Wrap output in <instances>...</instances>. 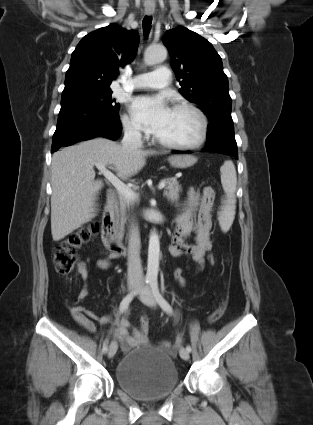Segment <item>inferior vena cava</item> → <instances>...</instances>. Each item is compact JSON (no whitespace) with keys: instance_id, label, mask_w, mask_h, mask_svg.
<instances>
[{"instance_id":"602c4592","label":"inferior vena cava","mask_w":313,"mask_h":425,"mask_svg":"<svg viewBox=\"0 0 313 425\" xmlns=\"http://www.w3.org/2000/svg\"><path fill=\"white\" fill-rule=\"evenodd\" d=\"M126 151H135L142 147L140 132L130 125L124 127V137L121 141ZM127 281L139 283L144 279L140 259V233L136 223L131 224L128 237Z\"/></svg>"}]
</instances>
